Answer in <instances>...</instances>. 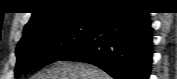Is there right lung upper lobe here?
Wrapping results in <instances>:
<instances>
[{
  "mask_svg": "<svg viewBox=\"0 0 177 79\" xmlns=\"http://www.w3.org/2000/svg\"><path fill=\"white\" fill-rule=\"evenodd\" d=\"M134 3L129 0H40L36 3L24 35L41 27L64 23L80 18L99 17L107 8Z\"/></svg>",
  "mask_w": 177,
  "mask_h": 79,
  "instance_id": "right-lung-upper-lobe-1",
  "label": "right lung upper lobe"
}]
</instances>
